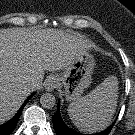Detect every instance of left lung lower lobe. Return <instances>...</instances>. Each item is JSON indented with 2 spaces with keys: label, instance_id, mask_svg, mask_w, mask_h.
<instances>
[{
  "label": "left lung lower lobe",
  "instance_id": "left-lung-lower-lobe-1",
  "mask_svg": "<svg viewBox=\"0 0 135 135\" xmlns=\"http://www.w3.org/2000/svg\"><path fill=\"white\" fill-rule=\"evenodd\" d=\"M59 108H60V103L58 102L57 111H56L55 115L52 117V121H53V125L55 128L56 134L57 135H85V134L79 133L75 130H72L64 123V121L61 118ZM114 124H115V122L110 127H108L106 130H104L100 133L91 134V135H108L110 133L112 127L114 126Z\"/></svg>",
  "mask_w": 135,
  "mask_h": 135
}]
</instances>
